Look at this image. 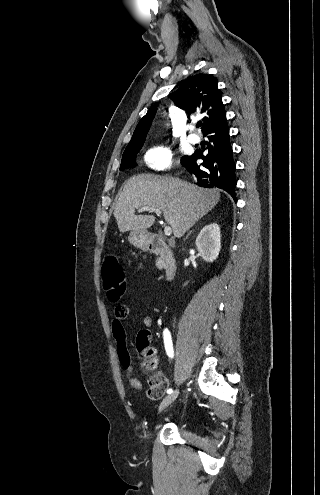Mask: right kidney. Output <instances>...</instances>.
Masks as SVG:
<instances>
[{
  "mask_svg": "<svg viewBox=\"0 0 320 495\" xmlns=\"http://www.w3.org/2000/svg\"><path fill=\"white\" fill-rule=\"evenodd\" d=\"M220 237V227L216 223L205 226L197 236L196 247L206 262H213L218 257L221 248Z\"/></svg>",
  "mask_w": 320,
  "mask_h": 495,
  "instance_id": "obj_1",
  "label": "right kidney"
}]
</instances>
